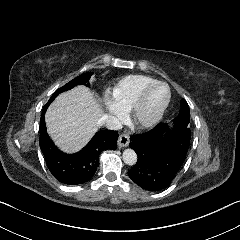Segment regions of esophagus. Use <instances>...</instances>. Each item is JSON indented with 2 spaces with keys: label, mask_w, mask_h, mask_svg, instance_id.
Here are the masks:
<instances>
[{
  "label": "esophagus",
  "mask_w": 240,
  "mask_h": 240,
  "mask_svg": "<svg viewBox=\"0 0 240 240\" xmlns=\"http://www.w3.org/2000/svg\"><path fill=\"white\" fill-rule=\"evenodd\" d=\"M129 144V135L128 134H121L118 138V146L120 148H124Z\"/></svg>",
  "instance_id": "esophagus-1"
}]
</instances>
